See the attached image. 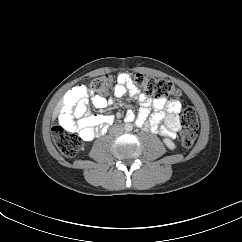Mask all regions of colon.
<instances>
[{
	"label": "colon",
	"mask_w": 242,
	"mask_h": 242,
	"mask_svg": "<svg viewBox=\"0 0 242 242\" xmlns=\"http://www.w3.org/2000/svg\"><path fill=\"white\" fill-rule=\"evenodd\" d=\"M136 87L143 94L153 95L155 98L179 97L181 92L171 82L144 74L135 75ZM113 76L103 74L91 79L87 88L100 95H108L113 88ZM60 118V117H59ZM56 121L53 127L54 141L66 157L75 156L82 148V141L79 137L73 135L61 123L60 119ZM182 130L179 133V140L184 148H190L196 138L199 126L198 116L194 108L187 107L181 114Z\"/></svg>",
	"instance_id": "1"
}]
</instances>
